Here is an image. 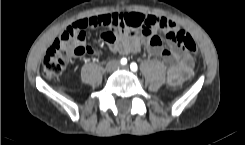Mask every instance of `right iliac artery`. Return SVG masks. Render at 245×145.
Listing matches in <instances>:
<instances>
[{"mask_svg":"<svg viewBox=\"0 0 245 145\" xmlns=\"http://www.w3.org/2000/svg\"><path fill=\"white\" fill-rule=\"evenodd\" d=\"M121 64L122 65H126L127 64V59L126 58H122L121 59Z\"/></svg>","mask_w":245,"mask_h":145,"instance_id":"82829eb1","label":"right iliac artery"}]
</instances>
